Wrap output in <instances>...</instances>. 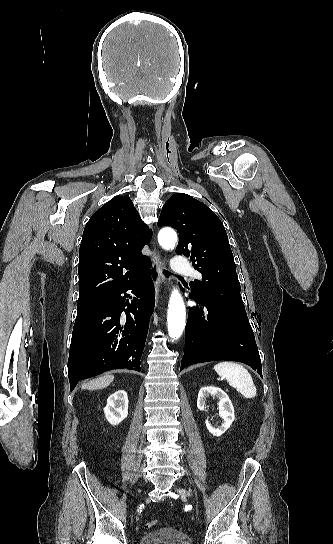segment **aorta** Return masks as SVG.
Instances as JSON below:
<instances>
[{
  "mask_svg": "<svg viewBox=\"0 0 333 544\" xmlns=\"http://www.w3.org/2000/svg\"><path fill=\"white\" fill-rule=\"evenodd\" d=\"M159 244L166 250L176 246L177 234L173 229L164 228L158 234ZM186 321V309L181 294L177 289L171 293L168 305L167 328L168 334L173 340L181 337Z\"/></svg>",
  "mask_w": 333,
  "mask_h": 544,
  "instance_id": "obj_1",
  "label": "aorta"
}]
</instances>
